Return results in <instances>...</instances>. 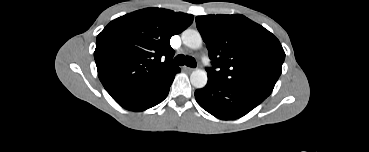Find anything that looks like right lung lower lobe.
<instances>
[{
    "instance_id": "right-lung-lower-lobe-1",
    "label": "right lung lower lobe",
    "mask_w": 369,
    "mask_h": 152,
    "mask_svg": "<svg viewBox=\"0 0 369 152\" xmlns=\"http://www.w3.org/2000/svg\"><path fill=\"white\" fill-rule=\"evenodd\" d=\"M178 72H180L179 67L159 80L116 97L114 100L130 111H144L151 108L167 97L175 74Z\"/></svg>"
}]
</instances>
